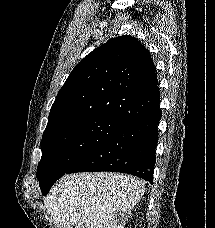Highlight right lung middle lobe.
Masks as SVG:
<instances>
[{
    "label": "right lung middle lobe",
    "instance_id": "1",
    "mask_svg": "<svg viewBox=\"0 0 215 228\" xmlns=\"http://www.w3.org/2000/svg\"><path fill=\"white\" fill-rule=\"evenodd\" d=\"M126 121L98 116L43 134L37 179L45 196L52 185Z\"/></svg>",
    "mask_w": 215,
    "mask_h": 228
}]
</instances>
